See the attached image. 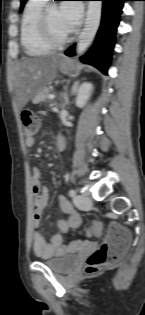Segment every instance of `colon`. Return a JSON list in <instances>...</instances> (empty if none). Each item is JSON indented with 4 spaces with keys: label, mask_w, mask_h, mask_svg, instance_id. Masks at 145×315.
<instances>
[{
    "label": "colon",
    "mask_w": 145,
    "mask_h": 315,
    "mask_svg": "<svg viewBox=\"0 0 145 315\" xmlns=\"http://www.w3.org/2000/svg\"><path fill=\"white\" fill-rule=\"evenodd\" d=\"M21 122L26 138L33 137L39 128L37 115L29 110L23 111L21 113ZM100 231V223L92 221L88 233L97 236L100 234ZM130 242L131 236L128 230L119 224H112L106 239L87 259V273H95L116 264L123 257Z\"/></svg>",
    "instance_id": "obj_1"
}]
</instances>
